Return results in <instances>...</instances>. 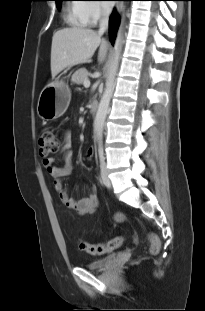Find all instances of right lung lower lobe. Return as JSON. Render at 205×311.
<instances>
[{"label": "right lung lower lobe", "instance_id": "right-lung-lower-lobe-1", "mask_svg": "<svg viewBox=\"0 0 205 311\" xmlns=\"http://www.w3.org/2000/svg\"><path fill=\"white\" fill-rule=\"evenodd\" d=\"M118 25H119V18L115 14V12H113L109 19V37L112 44L116 35Z\"/></svg>", "mask_w": 205, "mask_h": 311}]
</instances>
